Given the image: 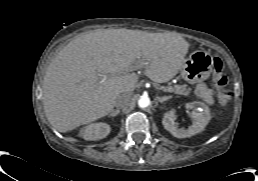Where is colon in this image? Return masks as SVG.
I'll list each match as a JSON object with an SVG mask.
<instances>
[{
	"instance_id": "obj_1",
	"label": "colon",
	"mask_w": 258,
	"mask_h": 181,
	"mask_svg": "<svg viewBox=\"0 0 258 181\" xmlns=\"http://www.w3.org/2000/svg\"><path fill=\"white\" fill-rule=\"evenodd\" d=\"M212 84L217 91L220 103L226 105L229 103L231 94L226 88L227 77L223 72L222 62L219 58L213 59V78Z\"/></svg>"
}]
</instances>
